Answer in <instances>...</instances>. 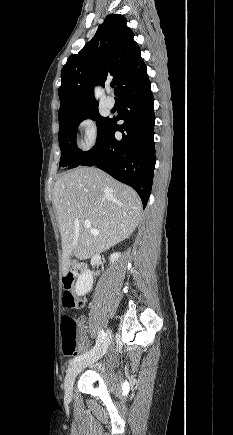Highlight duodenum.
Wrapping results in <instances>:
<instances>
[{
	"label": "duodenum",
	"instance_id": "duodenum-1",
	"mask_svg": "<svg viewBox=\"0 0 233 435\" xmlns=\"http://www.w3.org/2000/svg\"><path fill=\"white\" fill-rule=\"evenodd\" d=\"M84 269H85V265H84V264H82V263H77V264L75 265L73 271L77 274V273L82 272Z\"/></svg>",
	"mask_w": 233,
	"mask_h": 435
}]
</instances>
